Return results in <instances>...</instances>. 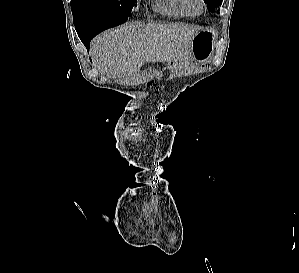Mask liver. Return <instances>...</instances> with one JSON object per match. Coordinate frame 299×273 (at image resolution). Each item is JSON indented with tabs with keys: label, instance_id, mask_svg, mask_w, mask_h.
<instances>
[{
	"label": "liver",
	"instance_id": "6515ba94",
	"mask_svg": "<svg viewBox=\"0 0 299 273\" xmlns=\"http://www.w3.org/2000/svg\"><path fill=\"white\" fill-rule=\"evenodd\" d=\"M200 27L187 24L132 23L108 30L91 45L95 66L104 73L134 76L143 62H186Z\"/></svg>",
	"mask_w": 299,
	"mask_h": 273
}]
</instances>
